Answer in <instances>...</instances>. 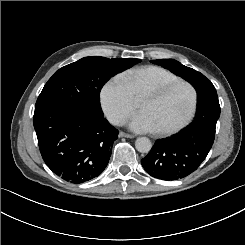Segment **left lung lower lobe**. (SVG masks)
Masks as SVG:
<instances>
[{"instance_id":"1","label":"left lung lower lobe","mask_w":245,"mask_h":245,"mask_svg":"<svg viewBox=\"0 0 245 245\" xmlns=\"http://www.w3.org/2000/svg\"><path fill=\"white\" fill-rule=\"evenodd\" d=\"M198 108L195 120L170 138L157 140L142 166L152 177L178 180L193 173L206 158L214 138L220 105L210 81L196 87Z\"/></svg>"}]
</instances>
